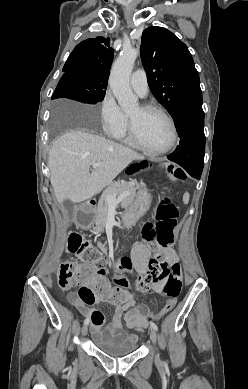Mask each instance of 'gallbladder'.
<instances>
[{
	"mask_svg": "<svg viewBox=\"0 0 248 389\" xmlns=\"http://www.w3.org/2000/svg\"><path fill=\"white\" fill-rule=\"evenodd\" d=\"M66 207H67V209H68L69 211H71V209H72V203H71V202H67V203H66Z\"/></svg>",
	"mask_w": 248,
	"mask_h": 389,
	"instance_id": "bac80fb5",
	"label": "gallbladder"
}]
</instances>
